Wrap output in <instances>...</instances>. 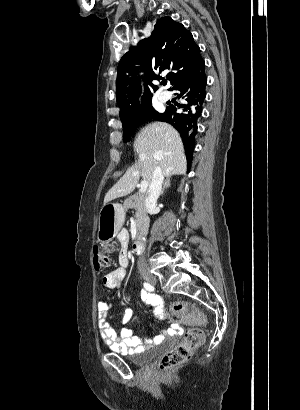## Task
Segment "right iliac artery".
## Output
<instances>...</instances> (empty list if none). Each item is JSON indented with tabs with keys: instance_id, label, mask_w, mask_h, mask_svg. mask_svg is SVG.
Segmentation results:
<instances>
[{
	"instance_id": "1",
	"label": "right iliac artery",
	"mask_w": 300,
	"mask_h": 410,
	"mask_svg": "<svg viewBox=\"0 0 300 410\" xmlns=\"http://www.w3.org/2000/svg\"><path fill=\"white\" fill-rule=\"evenodd\" d=\"M144 288H145L146 290L150 291V292H152V291L155 290L154 286H152L151 284L146 283V282L144 283Z\"/></svg>"
}]
</instances>
